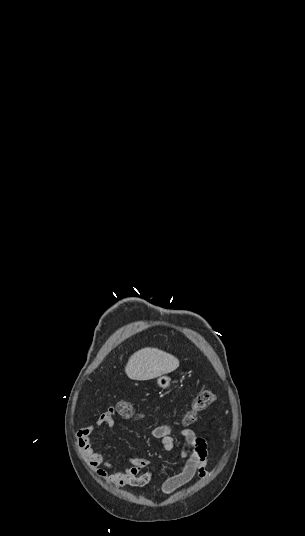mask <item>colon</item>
I'll return each instance as SVG.
<instances>
[{
  "mask_svg": "<svg viewBox=\"0 0 305 536\" xmlns=\"http://www.w3.org/2000/svg\"><path fill=\"white\" fill-rule=\"evenodd\" d=\"M215 400V394L211 390H201L199 391L191 406L189 407L186 418L187 423H191L195 421L197 416L201 414L202 412L206 411L209 406L214 402ZM114 407L116 409V412L114 415L124 416L128 414H132L134 412V406L130 401L127 400H120L117 403L114 404Z\"/></svg>",
  "mask_w": 305,
  "mask_h": 536,
  "instance_id": "5ec220e1",
  "label": "colon"
}]
</instances>
